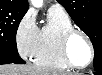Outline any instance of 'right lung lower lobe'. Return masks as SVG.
Instances as JSON below:
<instances>
[{
  "label": "right lung lower lobe",
  "instance_id": "98d812e1",
  "mask_svg": "<svg viewBox=\"0 0 102 75\" xmlns=\"http://www.w3.org/2000/svg\"><path fill=\"white\" fill-rule=\"evenodd\" d=\"M9 63L24 64L25 61L20 58L19 54H14V53L0 54V64H9Z\"/></svg>",
  "mask_w": 102,
  "mask_h": 75
}]
</instances>
